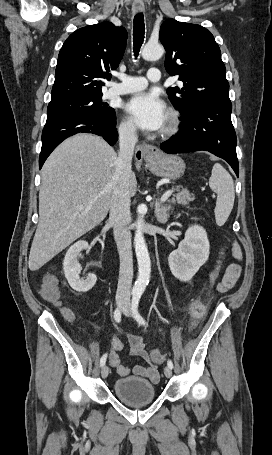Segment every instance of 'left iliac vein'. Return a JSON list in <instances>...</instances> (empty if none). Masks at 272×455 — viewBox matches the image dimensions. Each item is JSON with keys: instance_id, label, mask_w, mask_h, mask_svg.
Wrapping results in <instances>:
<instances>
[{"instance_id": "obj_1", "label": "left iliac vein", "mask_w": 272, "mask_h": 455, "mask_svg": "<svg viewBox=\"0 0 272 455\" xmlns=\"http://www.w3.org/2000/svg\"><path fill=\"white\" fill-rule=\"evenodd\" d=\"M123 313L126 316L131 315V306H130V301L127 300L123 306ZM164 374L167 378H170L172 376V369L169 366H166L164 368Z\"/></svg>"}]
</instances>
